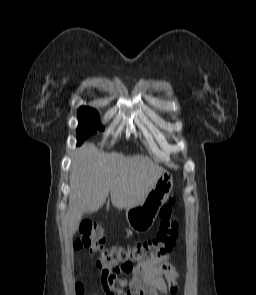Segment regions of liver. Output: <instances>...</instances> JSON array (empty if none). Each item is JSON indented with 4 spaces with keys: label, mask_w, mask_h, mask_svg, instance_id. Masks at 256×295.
<instances>
[{
    "label": "liver",
    "mask_w": 256,
    "mask_h": 295,
    "mask_svg": "<svg viewBox=\"0 0 256 295\" xmlns=\"http://www.w3.org/2000/svg\"><path fill=\"white\" fill-rule=\"evenodd\" d=\"M147 156L98 152L86 143L75 154L70 171L68 237L77 231L85 212H96L110 192L113 206L134 207L143 202L163 173Z\"/></svg>",
    "instance_id": "obj_1"
}]
</instances>
